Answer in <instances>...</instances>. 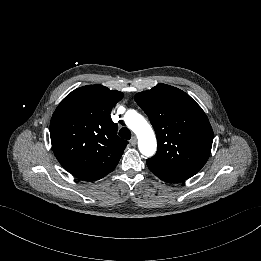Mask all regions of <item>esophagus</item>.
Instances as JSON below:
<instances>
[{"label":"esophagus","mask_w":261,"mask_h":261,"mask_svg":"<svg viewBox=\"0 0 261 261\" xmlns=\"http://www.w3.org/2000/svg\"><path fill=\"white\" fill-rule=\"evenodd\" d=\"M138 140L136 137H134L132 140H131V145L135 146L137 144Z\"/></svg>","instance_id":"esophagus-1"}]
</instances>
